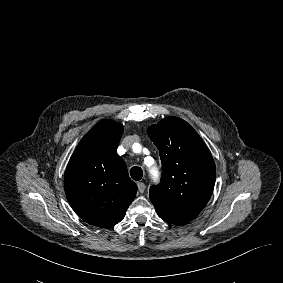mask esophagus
<instances>
[{
    "instance_id": "34e87169",
    "label": "esophagus",
    "mask_w": 283,
    "mask_h": 283,
    "mask_svg": "<svg viewBox=\"0 0 283 283\" xmlns=\"http://www.w3.org/2000/svg\"><path fill=\"white\" fill-rule=\"evenodd\" d=\"M137 187H138V191L141 194L144 193L146 186H145V184L143 182H138L137 183Z\"/></svg>"
}]
</instances>
